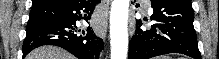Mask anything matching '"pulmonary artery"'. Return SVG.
<instances>
[{"instance_id": "e3ab8cb5", "label": "pulmonary artery", "mask_w": 219, "mask_h": 59, "mask_svg": "<svg viewBox=\"0 0 219 59\" xmlns=\"http://www.w3.org/2000/svg\"><path fill=\"white\" fill-rule=\"evenodd\" d=\"M144 3H145L146 6H148V1H145Z\"/></svg>"}]
</instances>
